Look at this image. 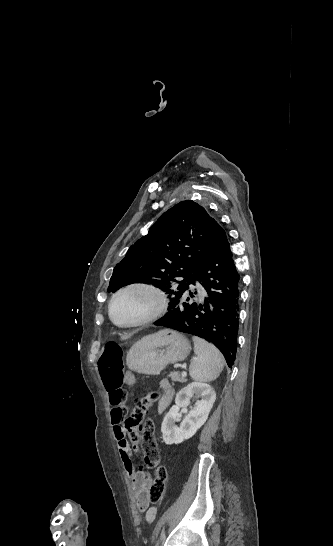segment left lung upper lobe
I'll use <instances>...</instances> for the list:
<instances>
[{
    "instance_id": "obj_1",
    "label": "left lung upper lobe",
    "mask_w": 333,
    "mask_h": 546,
    "mask_svg": "<svg viewBox=\"0 0 333 546\" xmlns=\"http://www.w3.org/2000/svg\"><path fill=\"white\" fill-rule=\"evenodd\" d=\"M217 226L197 203H178L129 248L113 270L108 291L147 283L165 291L172 300L187 288L190 276L211 246ZM172 308L170 301L169 310Z\"/></svg>"
}]
</instances>
